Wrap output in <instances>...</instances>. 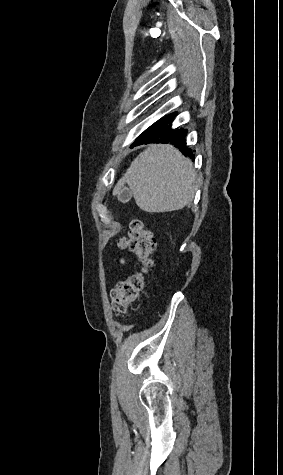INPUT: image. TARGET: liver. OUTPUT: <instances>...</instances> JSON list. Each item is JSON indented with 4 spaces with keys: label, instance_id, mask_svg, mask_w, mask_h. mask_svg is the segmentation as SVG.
<instances>
[{
    "label": "liver",
    "instance_id": "6515ba94",
    "mask_svg": "<svg viewBox=\"0 0 283 475\" xmlns=\"http://www.w3.org/2000/svg\"><path fill=\"white\" fill-rule=\"evenodd\" d=\"M196 172L191 160L170 144H150L131 162L112 194L128 184L133 198L144 212H173L194 198Z\"/></svg>",
    "mask_w": 283,
    "mask_h": 475
}]
</instances>
